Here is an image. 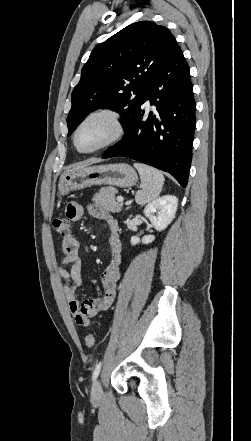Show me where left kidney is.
Listing matches in <instances>:
<instances>
[{
  "label": "left kidney",
  "instance_id": "obj_1",
  "mask_svg": "<svg viewBox=\"0 0 251 441\" xmlns=\"http://www.w3.org/2000/svg\"><path fill=\"white\" fill-rule=\"evenodd\" d=\"M178 206V199L176 196L164 195L151 203L144 209V215L148 218L152 226L157 231L164 230L174 219ZM155 236L146 235L141 240L137 236L131 237V245H136L140 242L143 244L152 243Z\"/></svg>",
  "mask_w": 251,
  "mask_h": 441
}]
</instances>
